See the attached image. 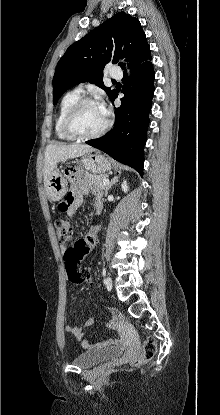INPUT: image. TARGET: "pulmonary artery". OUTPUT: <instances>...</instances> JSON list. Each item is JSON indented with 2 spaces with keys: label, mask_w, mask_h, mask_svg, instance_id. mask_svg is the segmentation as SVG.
I'll use <instances>...</instances> for the list:
<instances>
[{
  "label": "pulmonary artery",
  "mask_w": 220,
  "mask_h": 415,
  "mask_svg": "<svg viewBox=\"0 0 220 415\" xmlns=\"http://www.w3.org/2000/svg\"><path fill=\"white\" fill-rule=\"evenodd\" d=\"M122 76H123L122 72L117 68L111 71V77L113 78L120 79L122 78ZM77 90L82 91V86L77 87Z\"/></svg>",
  "instance_id": "obj_1"
}]
</instances>
